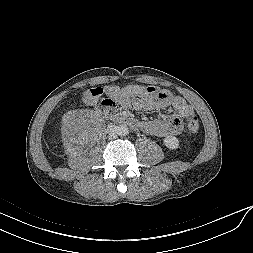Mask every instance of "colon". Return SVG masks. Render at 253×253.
I'll return each mask as SVG.
<instances>
[{
  "label": "colon",
  "mask_w": 253,
  "mask_h": 253,
  "mask_svg": "<svg viewBox=\"0 0 253 253\" xmlns=\"http://www.w3.org/2000/svg\"><path fill=\"white\" fill-rule=\"evenodd\" d=\"M160 89L154 86L129 85L124 88L116 86L93 87L84 92V99L87 102L95 103L100 100L103 94L116 100H130L144 95L159 94ZM112 109V108H111ZM190 132L196 133L199 129V122L196 116H190L186 121Z\"/></svg>",
  "instance_id": "5ec220e1"
}]
</instances>
